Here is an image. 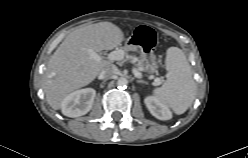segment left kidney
Returning a JSON list of instances; mask_svg holds the SVG:
<instances>
[{"label": "left kidney", "mask_w": 248, "mask_h": 158, "mask_svg": "<svg viewBox=\"0 0 248 158\" xmlns=\"http://www.w3.org/2000/svg\"><path fill=\"white\" fill-rule=\"evenodd\" d=\"M150 113L159 120H170L172 112L170 109L154 96H148L144 100Z\"/></svg>", "instance_id": "1"}]
</instances>
